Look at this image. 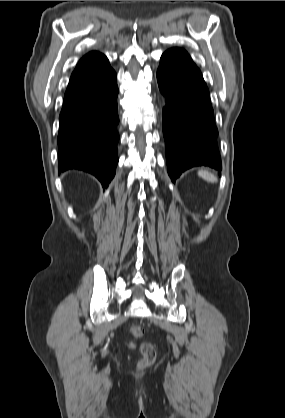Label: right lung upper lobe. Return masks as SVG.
<instances>
[{
    "label": "right lung upper lobe",
    "instance_id": "obj_1",
    "mask_svg": "<svg viewBox=\"0 0 285 418\" xmlns=\"http://www.w3.org/2000/svg\"><path fill=\"white\" fill-rule=\"evenodd\" d=\"M105 55L91 51L83 56L73 71L65 95L71 94L103 77L111 70Z\"/></svg>",
    "mask_w": 285,
    "mask_h": 418
}]
</instances>
